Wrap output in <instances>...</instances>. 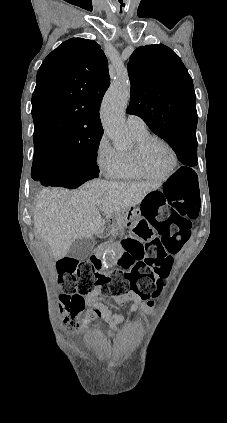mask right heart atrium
I'll return each mask as SVG.
<instances>
[{"label":"right heart atrium","mask_w":227,"mask_h":423,"mask_svg":"<svg viewBox=\"0 0 227 423\" xmlns=\"http://www.w3.org/2000/svg\"><path fill=\"white\" fill-rule=\"evenodd\" d=\"M95 162L99 171L108 178H117L120 171V160L117 151L112 147L105 133L98 138L95 148Z\"/></svg>","instance_id":"1"}]
</instances>
